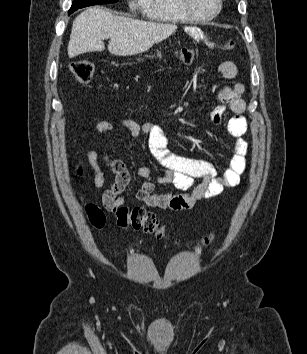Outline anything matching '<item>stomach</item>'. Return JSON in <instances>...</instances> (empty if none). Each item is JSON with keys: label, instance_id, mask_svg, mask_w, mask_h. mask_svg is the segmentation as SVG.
<instances>
[{"label": "stomach", "instance_id": "stomach-1", "mask_svg": "<svg viewBox=\"0 0 307 354\" xmlns=\"http://www.w3.org/2000/svg\"><path fill=\"white\" fill-rule=\"evenodd\" d=\"M147 57L153 59L155 57V55H149ZM157 57L161 58L162 57V53L161 52H157ZM138 61H140V59H138Z\"/></svg>", "mask_w": 307, "mask_h": 354}]
</instances>
